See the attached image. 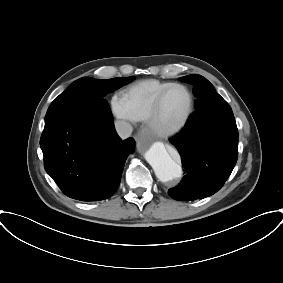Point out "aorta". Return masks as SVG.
<instances>
[{"label":"aorta","instance_id":"1","mask_svg":"<svg viewBox=\"0 0 283 283\" xmlns=\"http://www.w3.org/2000/svg\"><path fill=\"white\" fill-rule=\"evenodd\" d=\"M147 162L162 182H168L182 176V168L168 153L161 142L153 143L145 153Z\"/></svg>","mask_w":283,"mask_h":283}]
</instances>
